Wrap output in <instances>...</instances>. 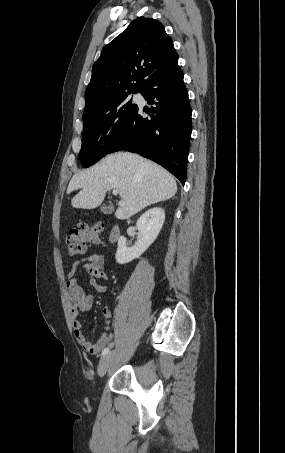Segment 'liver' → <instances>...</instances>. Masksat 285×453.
<instances>
[{
  "instance_id": "1",
  "label": "liver",
  "mask_w": 285,
  "mask_h": 453,
  "mask_svg": "<svg viewBox=\"0 0 285 453\" xmlns=\"http://www.w3.org/2000/svg\"><path fill=\"white\" fill-rule=\"evenodd\" d=\"M80 189L71 204L74 208L93 209L110 189L120 197L115 217L128 219L143 208L172 198L177 192L175 178L158 164L137 154L117 152L103 158L90 169L75 174L67 193Z\"/></svg>"
}]
</instances>
